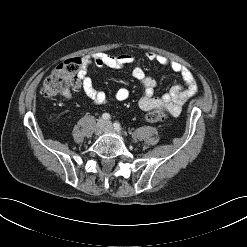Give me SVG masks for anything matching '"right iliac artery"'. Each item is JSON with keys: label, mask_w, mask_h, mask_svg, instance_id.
Listing matches in <instances>:
<instances>
[{"label": "right iliac artery", "mask_w": 247, "mask_h": 247, "mask_svg": "<svg viewBox=\"0 0 247 247\" xmlns=\"http://www.w3.org/2000/svg\"><path fill=\"white\" fill-rule=\"evenodd\" d=\"M102 118H103L104 120H109L111 117H110V114L104 113V114L102 115Z\"/></svg>", "instance_id": "right-iliac-artery-1"}]
</instances>
